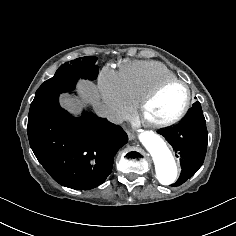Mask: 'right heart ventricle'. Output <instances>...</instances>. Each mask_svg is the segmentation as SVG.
Instances as JSON below:
<instances>
[{
    "instance_id": "e07e8e85",
    "label": "right heart ventricle",
    "mask_w": 236,
    "mask_h": 236,
    "mask_svg": "<svg viewBox=\"0 0 236 236\" xmlns=\"http://www.w3.org/2000/svg\"><path fill=\"white\" fill-rule=\"evenodd\" d=\"M121 74L126 92L134 104L139 103L159 82L176 78L170 68L156 61H130L122 66Z\"/></svg>"
}]
</instances>
